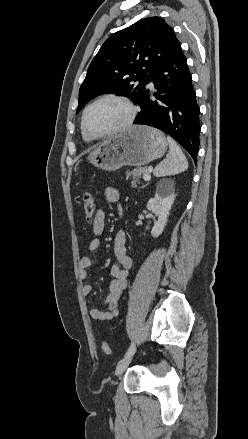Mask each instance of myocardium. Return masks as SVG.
Instances as JSON below:
<instances>
[{
    "instance_id": "obj_1",
    "label": "myocardium",
    "mask_w": 248,
    "mask_h": 439,
    "mask_svg": "<svg viewBox=\"0 0 248 439\" xmlns=\"http://www.w3.org/2000/svg\"><path fill=\"white\" fill-rule=\"evenodd\" d=\"M105 100H112V101H116V102L121 103L127 109L128 116H127L125 122L122 125H120L119 127L115 128L109 132L103 133V134H93V133L89 132L86 128L87 113L94 105L98 104L99 102L105 101ZM136 115H137V108L128 98H126L124 96H120V95H115V94L103 95V96L96 98L95 100H93L91 103H89L85 107L83 114H82V118H81V129H82V132L84 133V135H86L89 139L96 140V139L106 138V137L113 136V135H116L118 133H122V132L130 129L135 121Z\"/></svg>"
}]
</instances>
